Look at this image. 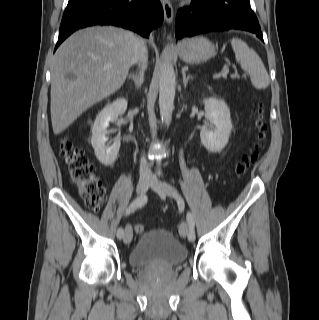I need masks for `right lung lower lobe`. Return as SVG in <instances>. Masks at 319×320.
<instances>
[{
    "label": "right lung lower lobe",
    "mask_w": 319,
    "mask_h": 320,
    "mask_svg": "<svg viewBox=\"0 0 319 320\" xmlns=\"http://www.w3.org/2000/svg\"><path fill=\"white\" fill-rule=\"evenodd\" d=\"M164 14L159 0H79L67 5L55 49L75 30L92 25H115L149 37Z\"/></svg>",
    "instance_id": "right-lung-lower-lobe-1"
}]
</instances>
